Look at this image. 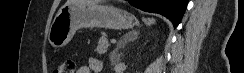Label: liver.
<instances>
[{"mask_svg":"<svg viewBox=\"0 0 244 73\" xmlns=\"http://www.w3.org/2000/svg\"><path fill=\"white\" fill-rule=\"evenodd\" d=\"M72 1H76V0H67L66 4L71 3ZM79 1H85V2L94 3L93 1H86V0H79Z\"/></svg>","mask_w":244,"mask_h":73,"instance_id":"6515ba94","label":"liver"}]
</instances>
